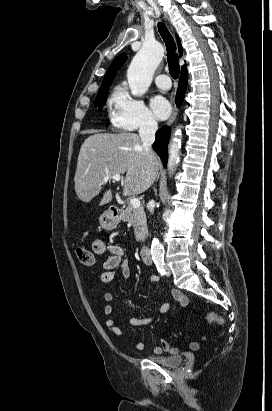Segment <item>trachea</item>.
Listing matches in <instances>:
<instances>
[{
	"label": "trachea",
	"instance_id": "trachea-1",
	"mask_svg": "<svg viewBox=\"0 0 272 411\" xmlns=\"http://www.w3.org/2000/svg\"><path fill=\"white\" fill-rule=\"evenodd\" d=\"M158 31L166 45L169 72L171 76L176 79L179 76L180 65L178 61V55L176 53L175 41L167 27L161 22L158 23Z\"/></svg>",
	"mask_w": 272,
	"mask_h": 411
}]
</instances>
